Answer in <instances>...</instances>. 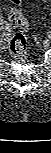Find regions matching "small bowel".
Listing matches in <instances>:
<instances>
[{"instance_id":"1","label":"small bowel","mask_w":51,"mask_h":153,"mask_svg":"<svg viewBox=\"0 0 51 153\" xmlns=\"http://www.w3.org/2000/svg\"><path fill=\"white\" fill-rule=\"evenodd\" d=\"M43 1H47V0H43ZM2 24L6 25L4 22H2Z\"/></svg>"}]
</instances>
